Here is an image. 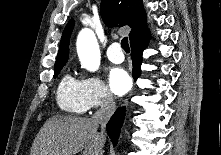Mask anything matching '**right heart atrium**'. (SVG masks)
Masks as SVG:
<instances>
[{"instance_id": "d8ad5b80", "label": "right heart atrium", "mask_w": 221, "mask_h": 155, "mask_svg": "<svg viewBox=\"0 0 221 155\" xmlns=\"http://www.w3.org/2000/svg\"><path fill=\"white\" fill-rule=\"evenodd\" d=\"M83 95L88 109L105 107L113 103V97L98 76H87L82 79Z\"/></svg>"}]
</instances>
